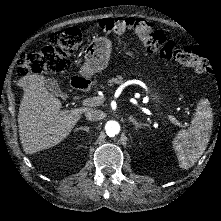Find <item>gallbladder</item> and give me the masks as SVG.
Returning <instances> with one entry per match:
<instances>
[{"instance_id": "obj_1", "label": "gallbladder", "mask_w": 221, "mask_h": 221, "mask_svg": "<svg viewBox=\"0 0 221 221\" xmlns=\"http://www.w3.org/2000/svg\"><path fill=\"white\" fill-rule=\"evenodd\" d=\"M44 87L55 96H62L60 87L57 81L53 78L47 77L43 80Z\"/></svg>"}]
</instances>
